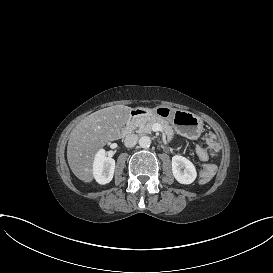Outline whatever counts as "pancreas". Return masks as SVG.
<instances>
[{
    "label": "pancreas",
    "instance_id": "cf45deb5",
    "mask_svg": "<svg viewBox=\"0 0 273 273\" xmlns=\"http://www.w3.org/2000/svg\"><path fill=\"white\" fill-rule=\"evenodd\" d=\"M158 123L164 129V133L166 136V143L169 144L173 142L176 138L175 133L173 131V126L170 125L168 121L158 116H146V117H138L136 119V132L137 133H147L150 134L152 132L153 124Z\"/></svg>",
    "mask_w": 273,
    "mask_h": 273
}]
</instances>
